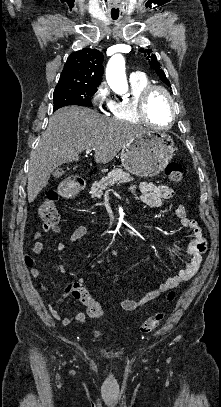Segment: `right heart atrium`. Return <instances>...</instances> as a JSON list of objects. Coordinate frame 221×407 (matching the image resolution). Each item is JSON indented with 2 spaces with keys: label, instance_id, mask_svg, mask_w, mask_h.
I'll return each instance as SVG.
<instances>
[{
  "label": "right heart atrium",
  "instance_id": "right-heart-atrium-1",
  "mask_svg": "<svg viewBox=\"0 0 221 407\" xmlns=\"http://www.w3.org/2000/svg\"><path fill=\"white\" fill-rule=\"evenodd\" d=\"M113 100L106 82H101L92 94V104L100 111L111 110Z\"/></svg>",
  "mask_w": 221,
  "mask_h": 407
}]
</instances>
